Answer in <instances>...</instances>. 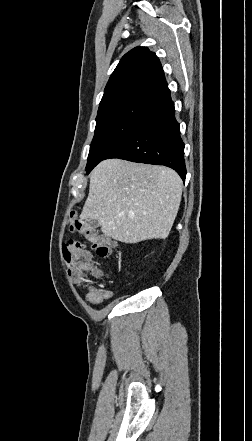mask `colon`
<instances>
[{"mask_svg": "<svg viewBox=\"0 0 252 441\" xmlns=\"http://www.w3.org/2000/svg\"><path fill=\"white\" fill-rule=\"evenodd\" d=\"M70 229L81 234L98 256L106 258L112 254L113 244L110 238L97 229L74 217L71 218ZM62 251L73 280L86 282L88 274L91 272L90 253L86 246L78 240H70L63 244ZM93 271L96 275H100L99 270Z\"/></svg>", "mask_w": 252, "mask_h": 441, "instance_id": "1", "label": "colon"}]
</instances>
